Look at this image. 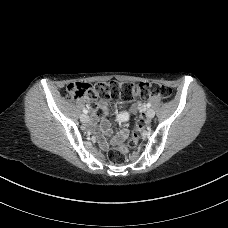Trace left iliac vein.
<instances>
[{
    "label": "left iliac vein",
    "mask_w": 228,
    "mask_h": 228,
    "mask_svg": "<svg viewBox=\"0 0 228 228\" xmlns=\"http://www.w3.org/2000/svg\"><path fill=\"white\" fill-rule=\"evenodd\" d=\"M154 115H155V112H154V110H152V109H149V110L147 111V113H146V116H147V118H149V119H152V118L154 117Z\"/></svg>",
    "instance_id": "4c4485c4"
}]
</instances>
